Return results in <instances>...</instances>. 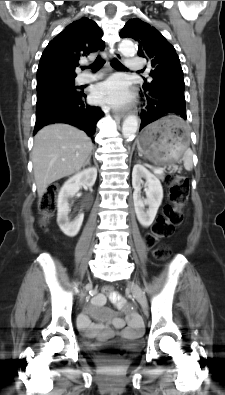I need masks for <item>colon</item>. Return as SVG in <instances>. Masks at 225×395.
Instances as JSON below:
<instances>
[{"mask_svg": "<svg viewBox=\"0 0 225 395\" xmlns=\"http://www.w3.org/2000/svg\"><path fill=\"white\" fill-rule=\"evenodd\" d=\"M167 183L169 188V204L165 206L162 215L152 225L151 232L146 238L149 247H155L160 240L170 237L175 227L181 223L183 218L181 208L188 197V178L182 175H171L168 176ZM57 193L58 185L53 184L48 187L39 201V210L43 222L55 210ZM154 254L157 259L162 260L169 256L170 249L167 245H158L155 248ZM102 293L111 294L112 286L104 285Z\"/></svg>", "mask_w": 225, "mask_h": 395, "instance_id": "obj_1", "label": "colon"}]
</instances>
